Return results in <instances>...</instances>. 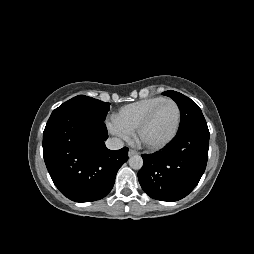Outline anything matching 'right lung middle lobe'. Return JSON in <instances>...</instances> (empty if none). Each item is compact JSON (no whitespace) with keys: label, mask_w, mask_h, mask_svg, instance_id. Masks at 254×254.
<instances>
[{"label":"right lung middle lobe","mask_w":254,"mask_h":254,"mask_svg":"<svg viewBox=\"0 0 254 254\" xmlns=\"http://www.w3.org/2000/svg\"><path fill=\"white\" fill-rule=\"evenodd\" d=\"M110 103L79 95L56 108L51 115L63 112H75L104 121L109 111Z\"/></svg>","instance_id":"dd1d6c3e"}]
</instances>
